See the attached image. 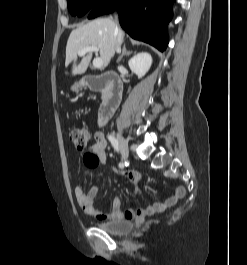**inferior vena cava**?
Here are the masks:
<instances>
[{"label": "inferior vena cava", "mask_w": 247, "mask_h": 265, "mask_svg": "<svg viewBox=\"0 0 247 265\" xmlns=\"http://www.w3.org/2000/svg\"><path fill=\"white\" fill-rule=\"evenodd\" d=\"M115 31H116V33H117V40H118V42H119V44H120V42H121V34H120V29L117 27V25H116V29H115ZM120 48H119V46H118V50H119Z\"/></svg>", "instance_id": "602c4592"}]
</instances>
